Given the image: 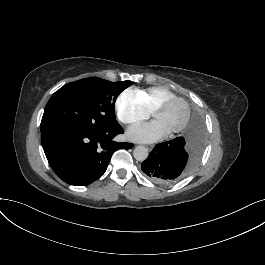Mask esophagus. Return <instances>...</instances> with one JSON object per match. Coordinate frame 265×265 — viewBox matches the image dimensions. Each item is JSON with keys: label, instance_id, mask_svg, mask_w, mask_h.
<instances>
[{"label": "esophagus", "instance_id": "esophagus-1", "mask_svg": "<svg viewBox=\"0 0 265 265\" xmlns=\"http://www.w3.org/2000/svg\"><path fill=\"white\" fill-rule=\"evenodd\" d=\"M147 148L149 151H151L154 148V145H147Z\"/></svg>", "mask_w": 265, "mask_h": 265}]
</instances>
